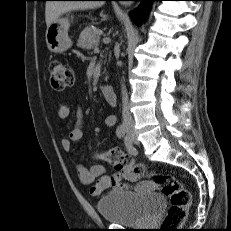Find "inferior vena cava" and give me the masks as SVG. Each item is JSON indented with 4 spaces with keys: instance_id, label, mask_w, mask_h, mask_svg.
<instances>
[{
    "instance_id": "1",
    "label": "inferior vena cava",
    "mask_w": 231,
    "mask_h": 231,
    "mask_svg": "<svg viewBox=\"0 0 231 231\" xmlns=\"http://www.w3.org/2000/svg\"><path fill=\"white\" fill-rule=\"evenodd\" d=\"M122 118L125 126H133L134 121L130 113L129 98L126 88L122 85Z\"/></svg>"
}]
</instances>
